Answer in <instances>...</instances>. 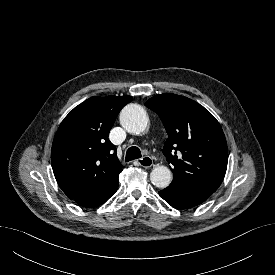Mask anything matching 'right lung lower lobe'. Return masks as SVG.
<instances>
[{
	"label": "right lung lower lobe",
	"mask_w": 275,
	"mask_h": 275,
	"mask_svg": "<svg viewBox=\"0 0 275 275\" xmlns=\"http://www.w3.org/2000/svg\"><path fill=\"white\" fill-rule=\"evenodd\" d=\"M118 189V183L111 189L97 194L74 199L75 202L86 207H97L106 202Z\"/></svg>",
	"instance_id": "98d812e1"
}]
</instances>
